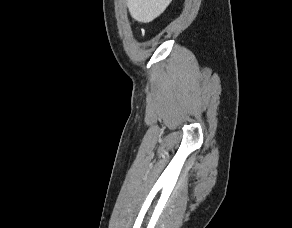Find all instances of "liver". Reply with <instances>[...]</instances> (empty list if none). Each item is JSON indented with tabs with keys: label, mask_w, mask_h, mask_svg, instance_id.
I'll list each match as a JSON object with an SVG mask.
<instances>
[{
	"label": "liver",
	"mask_w": 292,
	"mask_h": 228,
	"mask_svg": "<svg viewBox=\"0 0 292 228\" xmlns=\"http://www.w3.org/2000/svg\"><path fill=\"white\" fill-rule=\"evenodd\" d=\"M172 0H127L130 15L142 23L152 22L160 16Z\"/></svg>",
	"instance_id": "liver-1"
}]
</instances>
